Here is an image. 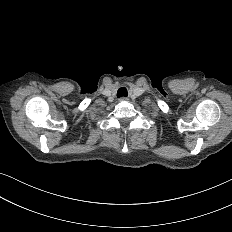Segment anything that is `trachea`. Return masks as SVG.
<instances>
[{
	"label": "trachea",
	"instance_id": "obj_1",
	"mask_svg": "<svg viewBox=\"0 0 232 232\" xmlns=\"http://www.w3.org/2000/svg\"><path fill=\"white\" fill-rule=\"evenodd\" d=\"M128 96V92L126 90V88L122 87L118 90L117 92V97L120 98V97H127Z\"/></svg>",
	"mask_w": 232,
	"mask_h": 232
}]
</instances>
